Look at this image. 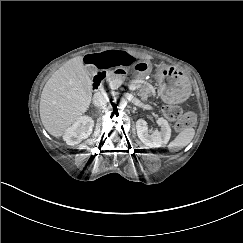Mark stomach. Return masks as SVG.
<instances>
[{
    "mask_svg": "<svg viewBox=\"0 0 243 243\" xmlns=\"http://www.w3.org/2000/svg\"><path fill=\"white\" fill-rule=\"evenodd\" d=\"M135 77L144 79L150 76L161 98L170 104L181 103L191 94V84L182 72L167 66H159L152 73L149 61H141L133 66Z\"/></svg>",
    "mask_w": 243,
    "mask_h": 243,
    "instance_id": "stomach-1",
    "label": "stomach"
}]
</instances>
